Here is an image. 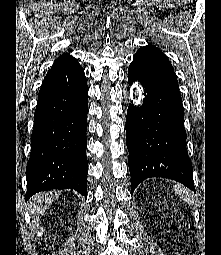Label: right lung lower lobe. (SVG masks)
I'll return each mask as SVG.
<instances>
[{
	"label": "right lung lower lobe",
	"instance_id": "obj_1",
	"mask_svg": "<svg viewBox=\"0 0 221 255\" xmlns=\"http://www.w3.org/2000/svg\"><path fill=\"white\" fill-rule=\"evenodd\" d=\"M88 86L77 59L53 66L40 88L26 168L28 200L51 189L87 196Z\"/></svg>",
	"mask_w": 221,
	"mask_h": 255
}]
</instances>
